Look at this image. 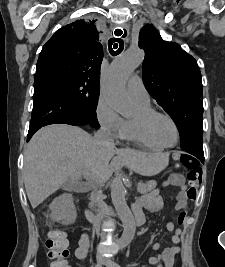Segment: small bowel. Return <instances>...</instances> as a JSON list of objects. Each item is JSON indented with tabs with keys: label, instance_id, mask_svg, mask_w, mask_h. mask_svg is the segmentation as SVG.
<instances>
[{
	"label": "small bowel",
	"instance_id": "c3829d8e",
	"mask_svg": "<svg viewBox=\"0 0 225 267\" xmlns=\"http://www.w3.org/2000/svg\"><path fill=\"white\" fill-rule=\"evenodd\" d=\"M166 187H178L180 188V192L177 197L176 209L182 210L187 207V194H186V185L185 179L180 174L171 175L168 180L164 183ZM164 203L160 191L158 189L151 191L150 193L144 195L139 202L136 204L135 209L142 213L144 217V210L151 211H160L163 209ZM166 229L172 233L171 241L172 245L162 248L159 243H155L153 245L154 250L158 251L159 254L151 258L150 262L153 266L156 267H173L174 256L179 251V243L181 240V231L179 229H175L172 223H167ZM86 241V236H84L81 240V245L77 248L75 254L78 258H83L85 253L83 249V245ZM147 267V266H143Z\"/></svg>",
	"mask_w": 225,
	"mask_h": 267
}]
</instances>
